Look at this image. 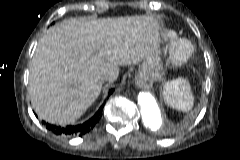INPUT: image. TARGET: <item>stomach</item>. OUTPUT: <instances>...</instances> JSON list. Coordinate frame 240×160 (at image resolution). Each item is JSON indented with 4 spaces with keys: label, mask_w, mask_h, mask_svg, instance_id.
<instances>
[{
    "label": "stomach",
    "mask_w": 240,
    "mask_h": 160,
    "mask_svg": "<svg viewBox=\"0 0 240 160\" xmlns=\"http://www.w3.org/2000/svg\"><path fill=\"white\" fill-rule=\"evenodd\" d=\"M143 69L151 77H157L163 69L160 58L157 56H152L150 59L144 62Z\"/></svg>",
    "instance_id": "0dacf381"
}]
</instances>
